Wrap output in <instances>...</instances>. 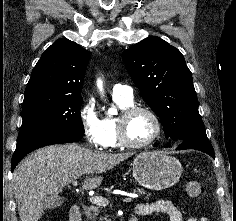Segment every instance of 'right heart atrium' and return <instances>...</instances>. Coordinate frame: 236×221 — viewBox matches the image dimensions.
<instances>
[{"instance_id": "obj_1", "label": "right heart atrium", "mask_w": 236, "mask_h": 221, "mask_svg": "<svg viewBox=\"0 0 236 221\" xmlns=\"http://www.w3.org/2000/svg\"><path fill=\"white\" fill-rule=\"evenodd\" d=\"M79 120L89 144L95 148L105 147L106 135L94 99L88 98L82 104L79 110Z\"/></svg>"}]
</instances>
